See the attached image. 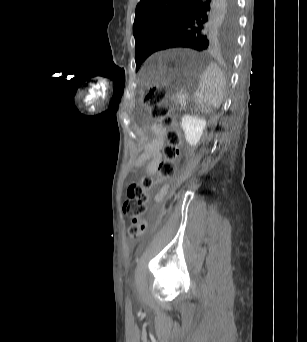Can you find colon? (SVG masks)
<instances>
[{
  "label": "colon",
  "mask_w": 307,
  "mask_h": 342,
  "mask_svg": "<svg viewBox=\"0 0 307 342\" xmlns=\"http://www.w3.org/2000/svg\"><path fill=\"white\" fill-rule=\"evenodd\" d=\"M144 103L147 106L151 117L159 124L170 127L172 116L166 105L168 87L151 86L144 87ZM167 144L163 150V158L156 166V176L143 175L140 181L128 186L127 198L123 203L125 215L130 217L128 234L131 239L141 237L147 228L143 215L147 210L148 191L153 189L159 180L169 179L175 175V161L180 155V133L176 129H170L166 136Z\"/></svg>",
  "instance_id": "obj_1"
}]
</instances>
